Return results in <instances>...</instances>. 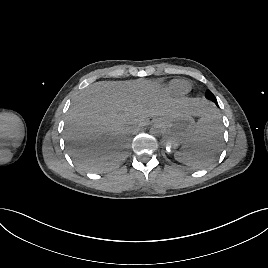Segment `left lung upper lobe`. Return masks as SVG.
I'll return each instance as SVG.
<instances>
[{
	"mask_svg": "<svg viewBox=\"0 0 268 268\" xmlns=\"http://www.w3.org/2000/svg\"><path fill=\"white\" fill-rule=\"evenodd\" d=\"M205 97L213 102H217L215 96L213 95V93L209 90L206 91L205 93Z\"/></svg>",
	"mask_w": 268,
	"mask_h": 268,
	"instance_id": "1",
	"label": "left lung upper lobe"
}]
</instances>
